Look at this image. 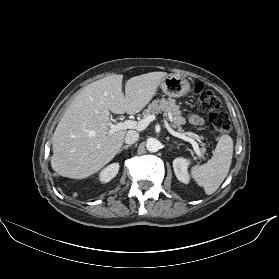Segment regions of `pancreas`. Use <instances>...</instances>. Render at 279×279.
Here are the masks:
<instances>
[{"mask_svg":"<svg viewBox=\"0 0 279 279\" xmlns=\"http://www.w3.org/2000/svg\"><path fill=\"white\" fill-rule=\"evenodd\" d=\"M163 113L165 117H169L172 121V126L177 128L179 132H183L184 130L181 127V124L185 122V119L181 116V112L179 107L176 105L174 99L166 100L164 98L160 100H154L149 104L148 108L143 111V116H149L153 114ZM189 136L196 137L193 133H188ZM201 138V137H198ZM205 153V148L203 147L201 150V154Z\"/></svg>","mask_w":279,"mask_h":279,"instance_id":"pancreas-1","label":"pancreas"}]
</instances>
